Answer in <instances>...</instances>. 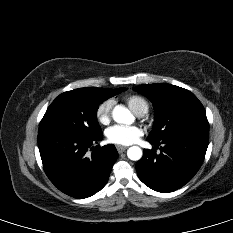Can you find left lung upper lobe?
Here are the masks:
<instances>
[{"mask_svg": "<svg viewBox=\"0 0 233 233\" xmlns=\"http://www.w3.org/2000/svg\"><path fill=\"white\" fill-rule=\"evenodd\" d=\"M153 104L155 121L148 139L200 133L209 135L206 112L197 97L187 89L171 84H143L134 88Z\"/></svg>", "mask_w": 233, "mask_h": 233, "instance_id": "left-lung-upper-lobe-1", "label": "left lung upper lobe"}]
</instances>
